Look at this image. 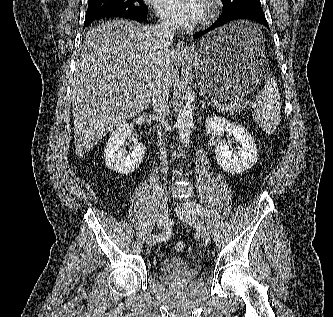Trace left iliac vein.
Masks as SVG:
<instances>
[{"mask_svg":"<svg viewBox=\"0 0 333 317\" xmlns=\"http://www.w3.org/2000/svg\"><path fill=\"white\" fill-rule=\"evenodd\" d=\"M176 213L183 222L196 228L206 246L210 245L211 238L209 232L196 213L192 211L191 202H185L182 207H177Z\"/></svg>","mask_w":333,"mask_h":317,"instance_id":"left-iliac-vein-1","label":"left iliac vein"}]
</instances>
